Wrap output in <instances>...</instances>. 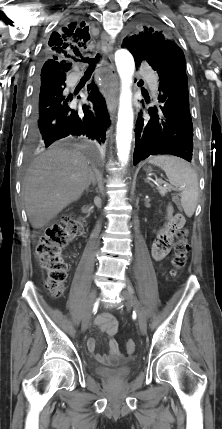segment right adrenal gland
Masks as SVG:
<instances>
[{
	"label": "right adrenal gland",
	"mask_w": 222,
	"mask_h": 429,
	"mask_svg": "<svg viewBox=\"0 0 222 429\" xmlns=\"http://www.w3.org/2000/svg\"><path fill=\"white\" fill-rule=\"evenodd\" d=\"M93 185V186H96V179H95V177L92 175V177H91V179H90V181H89V183H88V185H87V187H86V190L88 191V189H89V186L90 185Z\"/></svg>",
	"instance_id": "1"
}]
</instances>
